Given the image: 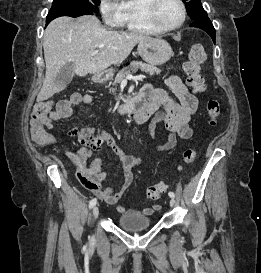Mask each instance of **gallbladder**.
I'll use <instances>...</instances> for the list:
<instances>
[{
  "mask_svg": "<svg viewBox=\"0 0 261 273\" xmlns=\"http://www.w3.org/2000/svg\"><path fill=\"white\" fill-rule=\"evenodd\" d=\"M74 75V64L67 63L58 72L55 82L60 85L69 84L72 81Z\"/></svg>",
  "mask_w": 261,
  "mask_h": 273,
  "instance_id": "bac80fb5",
  "label": "gallbladder"
}]
</instances>
